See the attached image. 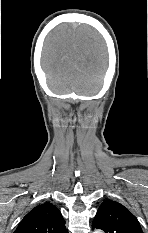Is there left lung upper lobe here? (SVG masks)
<instances>
[{
  "label": "left lung upper lobe",
  "instance_id": "obj_1",
  "mask_svg": "<svg viewBox=\"0 0 148 233\" xmlns=\"http://www.w3.org/2000/svg\"><path fill=\"white\" fill-rule=\"evenodd\" d=\"M105 233H143L137 218L122 204L105 200L99 207L92 229Z\"/></svg>",
  "mask_w": 148,
  "mask_h": 233
}]
</instances>
